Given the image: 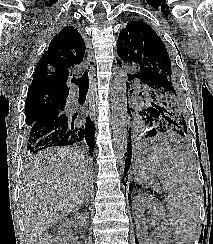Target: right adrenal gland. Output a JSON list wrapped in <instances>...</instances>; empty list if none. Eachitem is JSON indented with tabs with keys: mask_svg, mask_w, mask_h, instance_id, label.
Listing matches in <instances>:
<instances>
[{
	"mask_svg": "<svg viewBox=\"0 0 213 244\" xmlns=\"http://www.w3.org/2000/svg\"><path fill=\"white\" fill-rule=\"evenodd\" d=\"M89 189H87V192H86V195H85V200H84V202H87V203H89Z\"/></svg>",
	"mask_w": 213,
	"mask_h": 244,
	"instance_id": "1",
	"label": "right adrenal gland"
}]
</instances>
